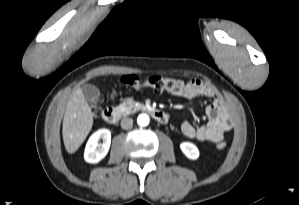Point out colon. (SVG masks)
<instances>
[{
  "label": "colon",
  "instance_id": "colon-1",
  "mask_svg": "<svg viewBox=\"0 0 299 205\" xmlns=\"http://www.w3.org/2000/svg\"><path fill=\"white\" fill-rule=\"evenodd\" d=\"M121 82L123 85L132 88L134 90H139L144 87L152 88L157 92L162 91H178L181 90L185 84L183 81L170 78V77H163L160 75H153L146 79H141L135 75H127L121 78ZM93 110L97 112V104L96 102L93 103ZM217 149H224L226 147L225 141H219L216 144Z\"/></svg>",
  "mask_w": 299,
  "mask_h": 205
}]
</instances>
